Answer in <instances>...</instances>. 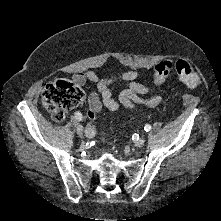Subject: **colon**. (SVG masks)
<instances>
[{
	"mask_svg": "<svg viewBox=\"0 0 221 221\" xmlns=\"http://www.w3.org/2000/svg\"><path fill=\"white\" fill-rule=\"evenodd\" d=\"M173 70L188 86L196 87L201 83L200 76L188 61L179 60L174 63L170 60H164L155 66L153 75L155 84H163ZM83 99V90L68 80L51 82L44 87L42 92V103L56 122H62L67 110L78 106ZM87 117L89 123L86 133L89 137H93L96 133L94 122L97 116L95 111L89 110Z\"/></svg>",
	"mask_w": 221,
	"mask_h": 221,
	"instance_id": "obj_1",
	"label": "colon"
}]
</instances>
